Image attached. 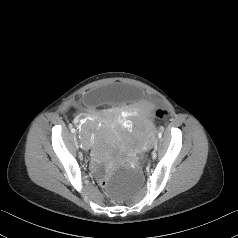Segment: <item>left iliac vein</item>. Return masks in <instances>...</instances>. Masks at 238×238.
Masks as SVG:
<instances>
[{
	"mask_svg": "<svg viewBox=\"0 0 238 238\" xmlns=\"http://www.w3.org/2000/svg\"><path fill=\"white\" fill-rule=\"evenodd\" d=\"M158 150V144L155 146L154 150H153V155L152 158H156V151Z\"/></svg>",
	"mask_w": 238,
	"mask_h": 238,
	"instance_id": "obj_1",
	"label": "left iliac vein"
}]
</instances>
